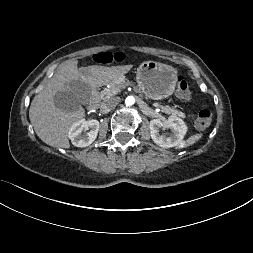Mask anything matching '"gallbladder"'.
Segmentation results:
<instances>
[{
	"instance_id": "1",
	"label": "gallbladder",
	"mask_w": 253,
	"mask_h": 253,
	"mask_svg": "<svg viewBox=\"0 0 253 253\" xmlns=\"http://www.w3.org/2000/svg\"><path fill=\"white\" fill-rule=\"evenodd\" d=\"M89 100V88L80 80L73 81L68 89L57 92L54 96L55 106L66 112L75 111L79 104H87Z\"/></svg>"
}]
</instances>
